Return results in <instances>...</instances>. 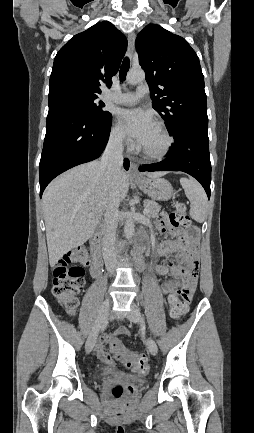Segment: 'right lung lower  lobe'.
I'll list each match as a JSON object with an SVG mask.
<instances>
[{"label":"right lung lower lobe","mask_w":254,"mask_h":433,"mask_svg":"<svg viewBox=\"0 0 254 433\" xmlns=\"http://www.w3.org/2000/svg\"><path fill=\"white\" fill-rule=\"evenodd\" d=\"M112 116L96 119L64 105L49 106L46 135L39 164L40 197L62 172L98 158L105 149ZM129 168V161L124 160Z\"/></svg>","instance_id":"right-lung-lower-lobe-1"}]
</instances>
